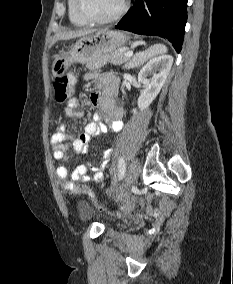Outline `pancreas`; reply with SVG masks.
Returning <instances> with one entry per match:
<instances>
[{
    "mask_svg": "<svg viewBox=\"0 0 233 284\" xmlns=\"http://www.w3.org/2000/svg\"><path fill=\"white\" fill-rule=\"evenodd\" d=\"M126 53L127 52L124 50L114 51L112 53L100 57L93 63L87 64L86 67L91 71H96V70L100 71L101 67L109 63L113 65H122V64L130 66L136 65L135 57L130 59L126 57Z\"/></svg>",
    "mask_w": 233,
    "mask_h": 284,
    "instance_id": "obj_1",
    "label": "pancreas"
}]
</instances>
